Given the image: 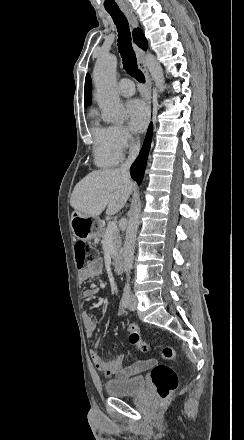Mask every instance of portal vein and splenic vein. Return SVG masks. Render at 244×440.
Segmentation results:
<instances>
[{"instance_id": "1", "label": "portal vein and splenic vein", "mask_w": 244, "mask_h": 440, "mask_svg": "<svg viewBox=\"0 0 244 440\" xmlns=\"http://www.w3.org/2000/svg\"><path fill=\"white\" fill-rule=\"evenodd\" d=\"M115 230H117L115 222H109L107 226V232H115Z\"/></svg>"}]
</instances>
